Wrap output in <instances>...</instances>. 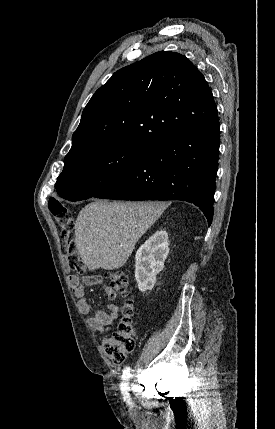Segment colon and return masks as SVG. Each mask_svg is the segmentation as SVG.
Returning <instances> with one entry per match:
<instances>
[{
    "label": "colon",
    "mask_w": 275,
    "mask_h": 429,
    "mask_svg": "<svg viewBox=\"0 0 275 429\" xmlns=\"http://www.w3.org/2000/svg\"><path fill=\"white\" fill-rule=\"evenodd\" d=\"M49 209L57 221L61 236L65 240V257L70 269L84 273L87 267L80 257L74 241V220L70 210L61 202L53 200L49 202ZM110 288L122 296H127L129 290V278L122 271H114L109 274ZM135 311L132 302L127 299L122 306V317L115 331L102 339L101 347L108 359L116 364L125 361L127 355L135 348Z\"/></svg>",
    "instance_id": "obj_1"
}]
</instances>
